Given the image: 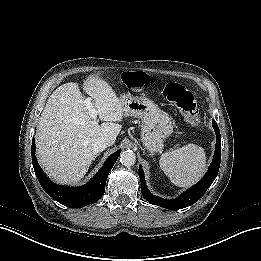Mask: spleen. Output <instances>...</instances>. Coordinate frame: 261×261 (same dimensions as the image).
Returning a JSON list of instances; mask_svg holds the SVG:
<instances>
[{
  "mask_svg": "<svg viewBox=\"0 0 261 261\" xmlns=\"http://www.w3.org/2000/svg\"><path fill=\"white\" fill-rule=\"evenodd\" d=\"M160 168L179 187L197 182L206 166V154L202 147L188 143L168 150L159 160Z\"/></svg>",
  "mask_w": 261,
  "mask_h": 261,
  "instance_id": "3e777b00",
  "label": "spleen"
}]
</instances>
